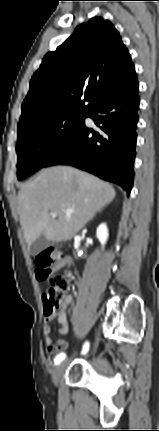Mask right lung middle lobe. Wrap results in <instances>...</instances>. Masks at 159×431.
<instances>
[{
    "instance_id": "obj_1",
    "label": "right lung middle lobe",
    "mask_w": 159,
    "mask_h": 431,
    "mask_svg": "<svg viewBox=\"0 0 159 431\" xmlns=\"http://www.w3.org/2000/svg\"><path fill=\"white\" fill-rule=\"evenodd\" d=\"M86 114L84 111H66L18 130V179L44 167L46 160L84 122Z\"/></svg>"
}]
</instances>
